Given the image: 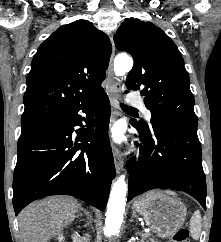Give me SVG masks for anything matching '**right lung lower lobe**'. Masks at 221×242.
Wrapping results in <instances>:
<instances>
[{"label": "right lung lower lobe", "instance_id": "1", "mask_svg": "<svg viewBox=\"0 0 221 242\" xmlns=\"http://www.w3.org/2000/svg\"><path fill=\"white\" fill-rule=\"evenodd\" d=\"M78 112L86 113L87 119ZM110 114L109 99L102 89L62 112L21 123L13 177L16 215L36 199L59 194L105 209L115 177L107 132ZM83 120L87 129L74 130L83 126Z\"/></svg>", "mask_w": 221, "mask_h": 242}]
</instances>
